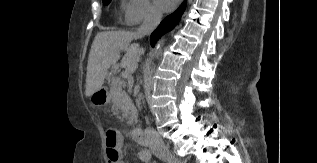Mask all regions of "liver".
Returning <instances> with one entry per match:
<instances>
[{"label":"liver","mask_w":317,"mask_h":163,"mask_svg":"<svg viewBox=\"0 0 317 163\" xmlns=\"http://www.w3.org/2000/svg\"><path fill=\"white\" fill-rule=\"evenodd\" d=\"M139 38L136 32L126 31H102L96 35L88 57L85 91L87 97L102 88L108 69L120 59L121 51H125L120 63V67L125 69L122 77L126 78L135 72L144 49L138 43L131 42Z\"/></svg>","instance_id":"obj_1"}]
</instances>
